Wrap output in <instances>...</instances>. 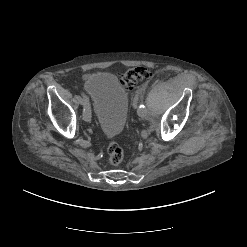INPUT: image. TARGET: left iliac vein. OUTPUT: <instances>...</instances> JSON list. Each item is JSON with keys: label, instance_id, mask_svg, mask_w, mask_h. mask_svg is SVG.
Here are the masks:
<instances>
[{"label": "left iliac vein", "instance_id": "4c4485c4", "mask_svg": "<svg viewBox=\"0 0 247 247\" xmlns=\"http://www.w3.org/2000/svg\"><path fill=\"white\" fill-rule=\"evenodd\" d=\"M138 115L143 119H147L150 116L149 112L146 109L142 111L138 110Z\"/></svg>", "mask_w": 247, "mask_h": 247}]
</instances>
